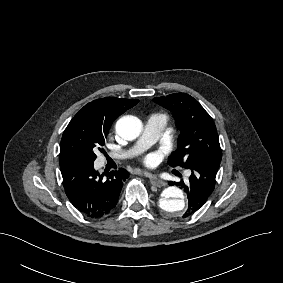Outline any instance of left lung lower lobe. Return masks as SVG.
I'll return each mask as SVG.
<instances>
[{
  "label": "left lung lower lobe",
  "mask_w": 283,
  "mask_h": 283,
  "mask_svg": "<svg viewBox=\"0 0 283 283\" xmlns=\"http://www.w3.org/2000/svg\"><path fill=\"white\" fill-rule=\"evenodd\" d=\"M220 166V161L203 160L195 163L189 169L192 171L189 177L190 184H182L188 196V209L183 215L190 216L205 204L215 188V178Z\"/></svg>",
  "instance_id": "0a47b994"
}]
</instances>
